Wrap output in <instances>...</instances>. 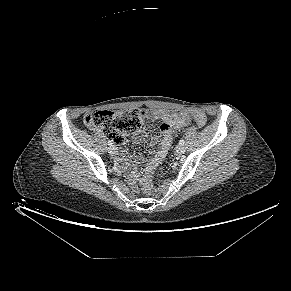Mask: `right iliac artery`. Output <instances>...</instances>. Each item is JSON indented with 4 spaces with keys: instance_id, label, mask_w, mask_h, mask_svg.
<instances>
[{
    "instance_id": "right-iliac-artery-1",
    "label": "right iliac artery",
    "mask_w": 291,
    "mask_h": 291,
    "mask_svg": "<svg viewBox=\"0 0 291 291\" xmlns=\"http://www.w3.org/2000/svg\"><path fill=\"white\" fill-rule=\"evenodd\" d=\"M108 145H109V146H112V145H113V142H112L111 140H109V141H108Z\"/></svg>"
}]
</instances>
